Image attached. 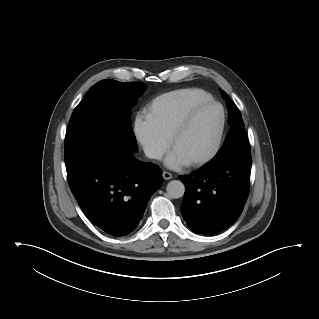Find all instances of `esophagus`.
Segmentation results:
<instances>
[{
    "mask_svg": "<svg viewBox=\"0 0 319 319\" xmlns=\"http://www.w3.org/2000/svg\"><path fill=\"white\" fill-rule=\"evenodd\" d=\"M162 176L165 180H170L173 178V175L167 171H163Z\"/></svg>",
    "mask_w": 319,
    "mask_h": 319,
    "instance_id": "esophagus-1",
    "label": "esophagus"
}]
</instances>
